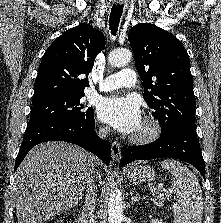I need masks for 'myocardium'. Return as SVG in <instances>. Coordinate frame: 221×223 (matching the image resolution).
I'll use <instances>...</instances> for the list:
<instances>
[{
    "label": "myocardium",
    "instance_id": "1",
    "mask_svg": "<svg viewBox=\"0 0 221 223\" xmlns=\"http://www.w3.org/2000/svg\"><path fill=\"white\" fill-rule=\"evenodd\" d=\"M142 130L132 136L131 140L136 144H147L156 140L162 131L158 118L147 115L142 122Z\"/></svg>",
    "mask_w": 221,
    "mask_h": 223
}]
</instances>
